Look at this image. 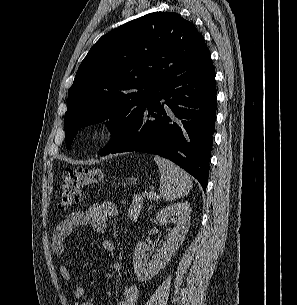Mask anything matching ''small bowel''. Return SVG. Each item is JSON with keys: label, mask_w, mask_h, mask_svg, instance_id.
<instances>
[{"label": "small bowel", "mask_w": 297, "mask_h": 305, "mask_svg": "<svg viewBox=\"0 0 297 305\" xmlns=\"http://www.w3.org/2000/svg\"><path fill=\"white\" fill-rule=\"evenodd\" d=\"M118 215V210L111 202L95 203L83 211L70 214L65 220L61 221L53 231L51 245L54 252L58 255L66 253L68 244L73 236L74 230L79 226H88L96 232L103 233L107 230L108 220ZM103 249L113 255L115 245L110 240L102 242ZM59 272L62 279L70 283L71 274L68 267L60 265ZM85 296V289L78 286L74 289V297L82 299ZM139 298V287L136 284H128L122 290V298L117 305H136ZM79 305H93L88 301L80 302Z\"/></svg>", "instance_id": "small-bowel-1"}]
</instances>
